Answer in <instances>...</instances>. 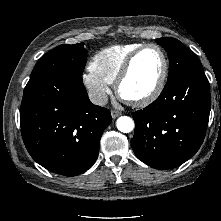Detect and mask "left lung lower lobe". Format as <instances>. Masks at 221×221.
<instances>
[{
	"mask_svg": "<svg viewBox=\"0 0 221 221\" xmlns=\"http://www.w3.org/2000/svg\"><path fill=\"white\" fill-rule=\"evenodd\" d=\"M210 113V86L203 70L165 85L156 101L134 112L131 140L137 158L155 169L175 168L200 148Z\"/></svg>",
	"mask_w": 221,
	"mask_h": 221,
	"instance_id": "obj_1",
	"label": "left lung lower lobe"
}]
</instances>
